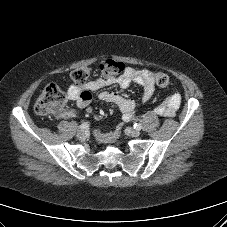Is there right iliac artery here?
I'll use <instances>...</instances> for the list:
<instances>
[{"mask_svg":"<svg viewBox=\"0 0 227 227\" xmlns=\"http://www.w3.org/2000/svg\"><path fill=\"white\" fill-rule=\"evenodd\" d=\"M89 127V123L88 122H84L80 125V129L81 130H84V129H87Z\"/></svg>","mask_w":227,"mask_h":227,"instance_id":"82829eb1","label":"right iliac artery"}]
</instances>
